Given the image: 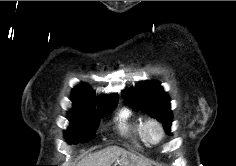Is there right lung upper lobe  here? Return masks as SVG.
<instances>
[{
  "instance_id": "cb5924a9",
  "label": "right lung upper lobe",
  "mask_w": 236,
  "mask_h": 166,
  "mask_svg": "<svg viewBox=\"0 0 236 166\" xmlns=\"http://www.w3.org/2000/svg\"><path fill=\"white\" fill-rule=\"evenodd\" d=\"M71 100L74 107L95 110L96 104L100 110H102L116 105L118 101V95H104L100 99L96 100L95 93L92 91V89L86 84H80L73 89Z\"/></svg>"
}]
</instances>
